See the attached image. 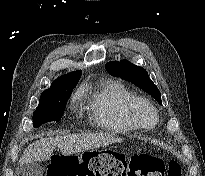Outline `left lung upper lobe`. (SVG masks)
Returning <instances> with one entry per match:
<instances>
[{
    "label": "left lung upper lobe",
    "mask_w": 205,
    "mask_h": 176,
    "mask_svg": "<svg viewBox=\"0 0 205 176\" xmlns=\"http://www.w3.org/2000/svg\"><path fill=\"white\" fill-rule=\"evenodd\" d=\"M106 69L109 73L134 83L147 93L151 94L160 104H162L161 93L149 78L148 73L144 68L136 66L127 60H121L120 62L114 61L107 63Z\"/></svg>",
    "instance_id": "1"
}]
</instances>
